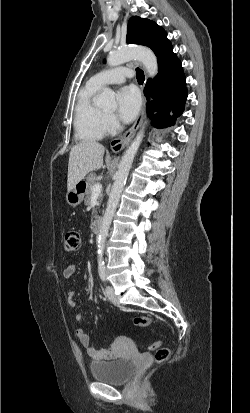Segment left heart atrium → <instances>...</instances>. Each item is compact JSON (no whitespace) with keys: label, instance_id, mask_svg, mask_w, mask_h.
<instances>
[{"label":"left heart atrium","instance_id":"left-heart-atrium-1","mask_svg":"<svg viewBox=\"0 0 250 413\" xmlns=\"http://www.w3.org/2000/svg\"><path fill=\"white\" fill-rule=\"evenodd\" d=\"M140 95L134 87H124L118 93V114L124 122H131L140 109Z\"/></svg>","mask_w":250,"mask_h":413}]
</instances>
